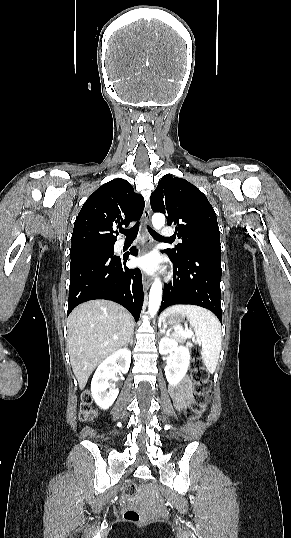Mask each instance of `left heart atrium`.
Instances as JSON below:
<instances>
[{
	"instance_id": "1",
	"label": "left heart atrium",
	"mask_w": 291,
	"mask_h": 538,
	"mask_svg": "<svg viewBox=\"0 0 291 538\" xmlns=\"http://www.w3.org/2000/svg\"><path fill=\"white\" fill-rule=\"evenodd\" d=\"M159 260L155 254H147L138 259L137 264L147 272H153L158 267Z\"/></svg>"
}]
</instances>
